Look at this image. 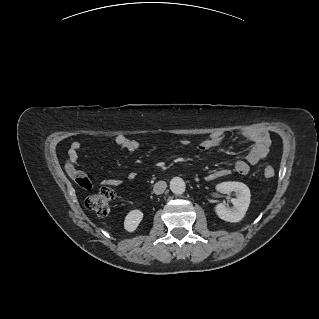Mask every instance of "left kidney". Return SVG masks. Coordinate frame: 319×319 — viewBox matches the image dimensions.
<instances>
[{"label": "left kidney", "instance_id": "obj_1", "mask_svg": "<svg viewBox=\"0 0 319 319\" xmlns=\"http://www.w3.org/2000/svg\"><path fill=\"white\" fill-rule=\"evenodd\" d=\"M216 190L223 194L235 192L236 198H232L233 207H228L224 203H219L215 207V212L219 218L227 222L241 221L250 204L251 193L247 185L242 182L228 181L219 183Z\"/></svg>", "mask_w": 319, "mask_h": 319}]
</instances>
